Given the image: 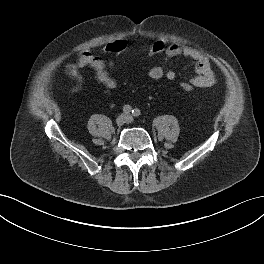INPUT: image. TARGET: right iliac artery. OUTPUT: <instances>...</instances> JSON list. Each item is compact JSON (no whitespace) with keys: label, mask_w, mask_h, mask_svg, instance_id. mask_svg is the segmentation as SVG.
<instances>
[{"label":"right iliac artery","mask_w":264,"mask_h":264,"mask_svg":"<svg viewBox=\"0 0 264 264\" xmlns=\"http://www.w3.org/2000/svg\"><path fill=\"white\" fill-rule=\"evenodd\" d=\"M123 111H124L125 113H130V112L132 111V107L129 106V105H125V106L123 107Z\"/></svg>","instance_id":"right-iliac-artery-1"}]
</instances>
